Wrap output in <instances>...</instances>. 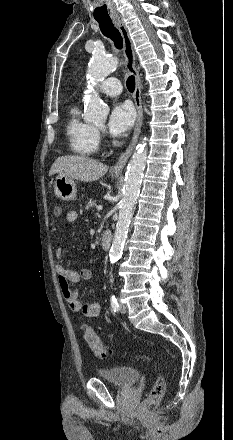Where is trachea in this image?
I'll list each match as a JSON object with an SVG mask.
<instances>
[{
	"label": "trachea",
	"mask_w": 233,
	"mask_h": 440,
	"mask_svg": "<svg viewBox=\"0 0 233 440\" xmlns=\"http://www.w3.org/2000/svg\"><path fill=\"white\" fill-rule=\"evenodd\" d=\"M99 23L100 30L102 34L108 38H110L117 49H122L123 47V39L119 32V30L114 26L112 20L108 19H96ZM127 88L130 92H133L135 89V77L129 76L127 79Z\"/></svg>",
	"instance_id": "3493384b"
}]
</instances>
